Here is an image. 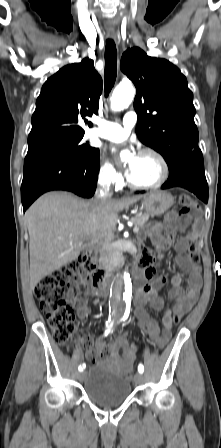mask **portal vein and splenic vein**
Instances as JSON below:
<instances>
[{
    "instance_id": "1",
    "label": "portal vein and splenic vein",
    "mask_w": 221,
    "mask_h": 448,
    "mask_svg": "<svg viewBox=\"0 0 221 448\" xmlns=\"http://www.w3.org/2000/svg\"><path fill=\"white\" fill-rule=\"evenodd\" d=\"M138 231H139V227H138V226H134V227H133V232L136 233V232H138Z\"/></svg>"
}]
</instances>
